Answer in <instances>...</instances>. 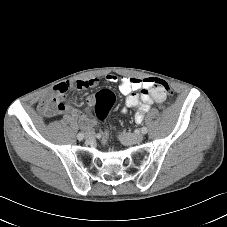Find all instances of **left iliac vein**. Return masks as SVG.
Returning a JSON list of instances; mask_svg holds the SVG:
<instances>
[{
	"instance_id": "left-iliac-vein-1",
	"label": "left iliac vein",
	"mask_w": 227,
	"mask_h": 227,
	"mask_svg": "<svg viewBox=\"0 0 227 227\" xmlns=\"http://www.w3.org/2000/svg\"><path fill=\"white\" fill-rule=\"evenodd\" d=\"M142 134L121 133L120 140L124 144H137L143 140Z\"/></svg>"
}]
</instances>
